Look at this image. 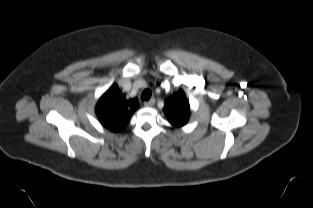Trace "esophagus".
Listing matches in <instances>:
<instances>
[{
    "label": "esophagus",
    "mask_w": 313,
    "mask_h": 208,
    "mask_svg": "<svg viewBox=\"0 0 313 208\" xmlns=\"http://www.w3.org/2000/svg\"><path fill=\"white\" fill-rule=\"evenodd\" d=\"M154 104H155V99L154 98L150 99L149 101H145L144 102V105L146 107H152Z\"/></svg>",
    "instance_id": "34e87169"
}]
</instances>
